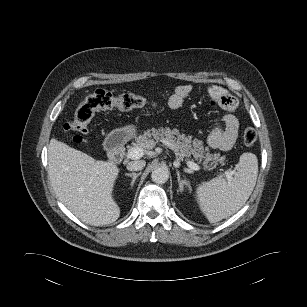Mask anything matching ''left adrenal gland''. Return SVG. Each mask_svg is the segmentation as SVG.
Here are the masks:
<instances>
[{"instance_id": "obj_1", "label": "left adrenal gland", "mask_w": 307, "mask_h": 307, "mask_svg": "<svg viewBox=\"0 0 307 307\" xmlns=\"http://www.w3.org/2000/svg\"><path fill=\"white\" fill-rule=\"evenodd\" d=\"M177 180H178L179 190L181 192L184 191V187H189L188 182L186 180H181L180 173L178 170H177Z\"/></svg>"}]
</instances>
